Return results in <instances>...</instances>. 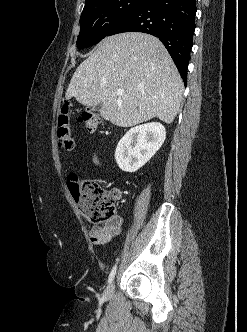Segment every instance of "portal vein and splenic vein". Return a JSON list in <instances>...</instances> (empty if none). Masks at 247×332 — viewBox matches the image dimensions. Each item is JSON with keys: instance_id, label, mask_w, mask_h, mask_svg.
<instances>
[{"instance_id": "1", "label": "portal vein and splenic vein", "mask_w": 247, "mask_h": 332, "mask_svg": "<svg viewBox=\"0 0 247 332\" xmlns=\"http://www.w3.org/2000/svg\"><path fill=\"white\" fill-rule=\"evenodd\" d=\"M116 94L119 95V96L122 95V94H123V90H122V89H118V90L116 91Z\"/></svg>"}]
</instances>
